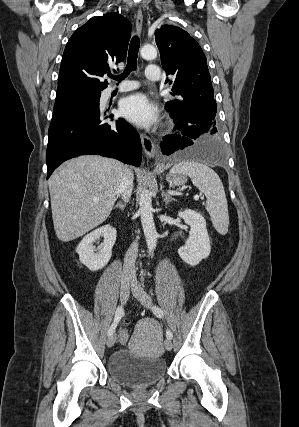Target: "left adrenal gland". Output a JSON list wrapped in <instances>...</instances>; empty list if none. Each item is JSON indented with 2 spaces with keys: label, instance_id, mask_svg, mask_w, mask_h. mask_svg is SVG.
Returning a JSON list of instances; mask_svg holds the SVG:
<instances>
[{
  "label": "left adrenal gland",
  "instance_id": "1",
  "mask_svg": "<svg viewBox=\"0 0 299 427\" xmlns=\"http://www.w3.org/2000/svg\"><path fill=\"white\" fill-rule=\"evenodd\" d=\"M162 197H164V202L167 205L169 202L175 200L174 198H172L169 194H167L166 192L162 193Z\"/></svg>",
  "mask_w": 299,
  "mask_h": 427
}]
</instances>
